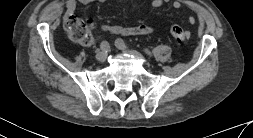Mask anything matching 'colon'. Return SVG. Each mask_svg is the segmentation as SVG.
<instances>
[{"label": "colon", "instance_id": "1", "mask_svg": "<svg viewBox=\"0 0 253 138\" xmlns=\"http://www.w3.org/2000/svg\"><path fill=\"white\" fill-rule=\"evenodd\" d=\"M64 24L66 32L72 41L82 45H89L92 42L93 37L89 22L74 16H69L65 18ZM170 33L180 43L187 42L190 37L189 32L179 25H172L170 27Z\"/></svg>", "mask_w": 253, "mask_h": 138}]
</instances>
